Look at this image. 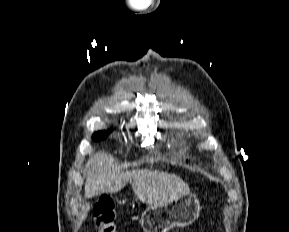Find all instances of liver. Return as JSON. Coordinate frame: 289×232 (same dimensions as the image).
I'll use <instances>...</instances> for the list:
<instances>
[{
	"mask_svg": "<svg viewBox=\"0 0 289 232\" xmlns=\"http://www.w3.org/2000/svg\"><path fill=\"white\" fill-rule=\"evenodd\" d=\"M84 174L87 198L117 193L128 183L137 198L148 205L165 204L190 192L188 184L174 174L149 169L117 171L114 158L101 151L88 159Z\"/></svg>",
	"mask_w": 289,
	"mask_h": 232,
	"instance_id": "liver-1",
	"label": "liver"
}]
</instances>
